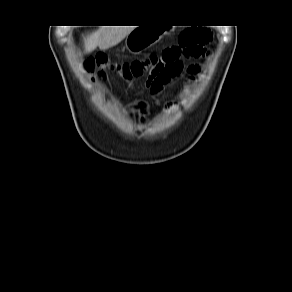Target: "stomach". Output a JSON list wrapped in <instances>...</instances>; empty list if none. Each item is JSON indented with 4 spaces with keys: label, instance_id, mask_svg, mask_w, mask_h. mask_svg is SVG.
<instances>
[{
    "label": "stomach",
    "instance_id": "0dacf381",
    "mask_svg": "<svg viewBox=\"0 0 292 292\" xmlns=\"http://www.w3.org/2000/svg\"><path fill=\"white\" fill-rule=\"evenodd\" d=\"M162 37V31L154 27H136L125 40L126 49L132 54H139L150 48Z\"/></svg>",
    "mask_w": 292,
    "mask_h": 292
}]
</instances>
